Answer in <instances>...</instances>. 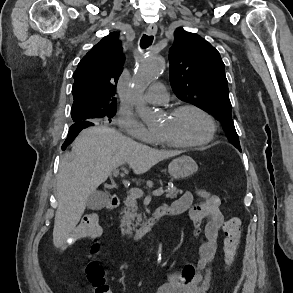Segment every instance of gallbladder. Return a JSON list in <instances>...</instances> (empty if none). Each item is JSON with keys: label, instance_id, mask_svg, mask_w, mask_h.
Masks as SVG:
<instances>
[{"label": "gallbladder", "instance_id": "obj_1", "mask_svg": "<svg viewBox=\"0 0 293 293\" xmlns=\"http://www.w3.org/2000/svg\"><path fill=\"white\" fill-rule=\"evenodd\" d=\"M108 200L109 196L106 193L96 191L88 197L86 207L90 210H100L106 206Z\"/></svg>", "mask_w": 293, "mask_h": 293}]
</instances>
